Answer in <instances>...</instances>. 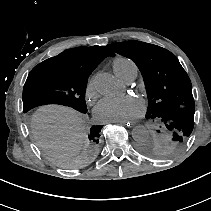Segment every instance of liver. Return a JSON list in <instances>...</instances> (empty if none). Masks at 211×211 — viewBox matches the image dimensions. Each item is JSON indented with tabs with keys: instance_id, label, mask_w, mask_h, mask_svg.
Segmentation results:
<instances>
[{
	"instance_id": "1",
	"label": "liver",
	"mask_w": 211,
	"mask_h": 211,
	"mask_svg": "<svg viewBox=\"0 0 211 211\" xmlns=\"http://www.w3.org/2000/svg\"><path fill=\"white\" fill-rule=\"evenodd\" d=\"M30 126L36 145L57 159L67 161L84 143L82 115L70 107L41 106L32 115Z\"/></svg>"
}]
</instances>
